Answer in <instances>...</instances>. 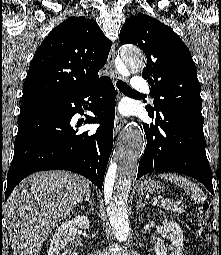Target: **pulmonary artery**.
Returning <instances> with one entry per match:
<instances>
[{
  "label": "pulmonary artery",
  "mask_w": 221,
  "mask_h": 255,
  "mask_svg": "<svg viewBox=\"0 0 221 255\" xmlns=\"http://www.w3.org/2000/svg\"><path fill=\"white\" fill-rule=\"evenodd\" d=\"M132 88L135 92L141 95L149 94L151 90L149 83L139 76L133 78Z\"/></svg>",
  "instance_id": "pulmonary-artery-1"
}]
</instances>
